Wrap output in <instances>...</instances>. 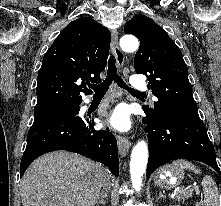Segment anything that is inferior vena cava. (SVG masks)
Wrapping results in <instances>:
<instances>
[{"instance_id":"1","label":"inferior vena cava","mask_w":221,"mask_h":206,"mask_svg":"<svg viewBox=\"0 0 221 206\" xmlns=\"http://www.w3.org/2000/svg\"><path fill=\"white\" fill-rule=\"evenodd\" d=\"M103 188H104L105 191H108L111 188L110 180H109L108 177H105V179H104Z\"/></svg>"}]
</instances>
